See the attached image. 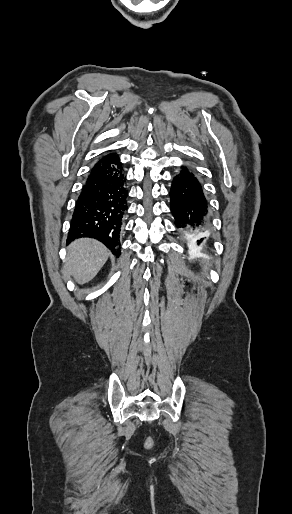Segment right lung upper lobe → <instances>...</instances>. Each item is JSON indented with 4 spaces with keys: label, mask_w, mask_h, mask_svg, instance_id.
Returning a JSON list of instances; mask_svg holds the SVG:
<instances>
[{
    "label": "right lung upper lobe",
    "mask_w": 292,
    "mask_h": 514,
    "mask_svg": "<svg viewBox=\"0 0 292 514\" xmlns=\"http://www.w3.org/2000/svg\"><path fill=\"white\" fill-rule=\"evenodd\" d=\"M110 155H112V153H111V154H108V155H105V156H110Z\"/></svg>",
    "instance_id": "right-lung-upper-lobe-1"
}]
</instances>
